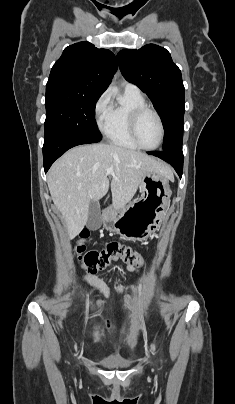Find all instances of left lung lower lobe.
<instances>
[{"mask_svg": "<svg viewBox=\"0 0 235 404\" xmlns=\"http://www.w3.org/2000/svg\"><path fill=\"white\" fill-rule=\"evenodd\" d=\"M150 155L157 156L161 158L162 160L170 163L174 169L176 170L177 174L179 177H182L183 173V153L182 149H172V150H166V151H152L148 152Z\"/></svg>", "mask_w": 235, "mask_h": 404, "instance_id": "left-lung-lower-lobe-1", "label": "left lung lower lobe"}]
</instances>
